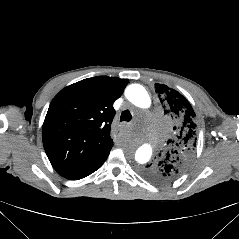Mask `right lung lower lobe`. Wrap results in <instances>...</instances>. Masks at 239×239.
<instances>
[{"label":"right lung lower lobe","instance_id":"obj_1","mask_svg":"<svg viewBox=\"0 0 239 239\" xmlns=\"http://www.w3.org/2000/svg\"><path fill=\"white\" fill-rule=\"evenodd\" d=\"M111 148L112 146L104 150L99 156H97L95 159H93L91 162H89L85 166L81 167L80 169L64 177L70 180H78L92 174L93 172L98 170L102 166V164L105 162V160L107 159L110 153Z\"/></svg>","mask_w":239,"mask_h":239}]
</instances>
